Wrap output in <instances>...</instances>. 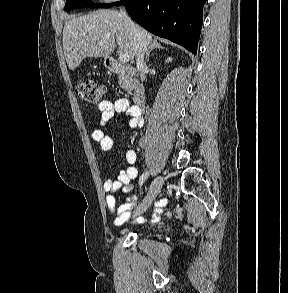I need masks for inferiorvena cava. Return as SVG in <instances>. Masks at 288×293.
<instances>
[{
  "instance_id": "602c4592",
  "label": "inferior vena cava",
  "mask_w": 288,
  "mask_h": 293,
  "mask_svg": "<svg viewBox=\"0 0 288 293\" xmlns=\"http://www.w3.org/2000/svg\"><path fill=\"white\" fill-rule=\"evenodd\" d=\"M122 15L126 18V20L129 23V26L131 27L133 36H134V42H135V50H136V65L137 69L140 73V78L142 81L145 80V71L147 69L146 62L144 60V54L146 52V48L144 46L139 28L137 25L130 19V17L127 15L125 10H121Z\"/></svg>"
}]
</instances>
